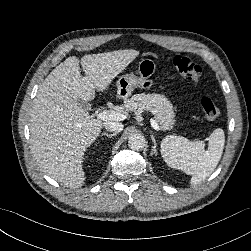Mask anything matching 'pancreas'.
I'll return each instance as SVG.
<instances>
[{"mask_svg":"<svg viewBox=\"0 0 251 251\" xmlns=\"http://www.w3.org/2000/svg\"><path fill=\"white\" fill-rule=\"evenodd\" d=\"M124 109L126 111H135L137 109L151 111L163 130H170L176 122L171 102L160 94L142 93L133 95L125 101Z\"/></svg>","mask_w":251,"mask_h":251,"instance_id":"cf45deb5","label":"pancreas"}]
</instances>
